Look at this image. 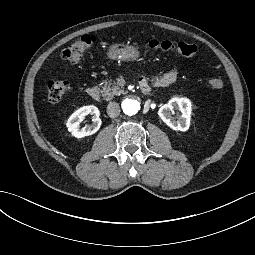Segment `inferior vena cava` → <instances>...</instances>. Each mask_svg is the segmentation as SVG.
I'll use <instances>...</instances> for the list:
<instances>
[{
	"label": "inferior vena cava",
	"mask_w": 255,
	"mask_h": 255,
	"mask_svg": "<svg viewBox=\"0 0 255 255\" xmlns=\"http://www.w3.org/2000/svg\"><path fill=\"white\" fill-rule=\"evenodd\" d=\"M107 114L111 118H115L120 114V106L116 102H110L107 106Z\"/></svg>",
	"instance_id": "602c4592"
}]
</instances>
